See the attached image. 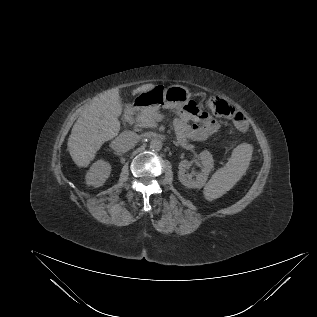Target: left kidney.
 I'll return each mask as SVG.
<instances>
[{
    "label": "left kidney",
    "instance_id": "left-kidney-1",
    "mask_svg": "<svg viewBox=\"0 0 317 317\" xmlns=\"http://www.w3.org/2000/svg\"><path fill=\"white\" fill-rule=\"evenodd\" d=\"M199 158L201 160L202 169H201V172L196 176V178H192L191 174H186V171L189 165L188 160H182L179 163V166H178L179 181L188 188H197V189L202 188L207 181L210 171L214 167V160H213L212 154L209 151L207 150L202 151L199 154Z\"/></svg>",
    "mask_w": 317,
    "mask_h": 317
}]
</instances>
